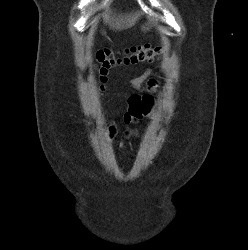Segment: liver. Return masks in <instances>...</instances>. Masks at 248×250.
<instances>
[{
	"label": "liver",
	"mask_w": 248,
	"mask_h": 250,
	"mask_svg": "<svg viewBox=\"0 0 248 250\" xmlns=\"http://www.w3.org/2000/svg\"><path fill=\"white\" fill-rule=\"evenodd\" d=\"M139 15H140L139 13H135L134 15H129V16L125 17V19H123V18L110 19L109 15L106 14L105 21L108 22L111 25V27H113L117 30H121L123 28L133 26L135 24V22L137 21Z\"/></svg>",
	"instance_id": "6515ba94"
}]
</instances>
